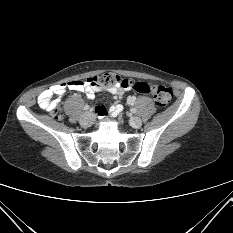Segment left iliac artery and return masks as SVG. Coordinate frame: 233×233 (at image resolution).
I'll return each mask as SVG.
<instances>
[{
	"label": "left iliac artery",
	"mask_w": 233,
	"mask_h": 233,
	"mask_svg": "<svg viewBox=\"0 0 233 233\" xmlns=\"http://www.w3.org/2000/svg\"><path fill=\"white\" fill-rule=\"evenodd\" d=\"M131 112H132V113H136V109H135V108H132V109H131Z\"/></svg>",
	"instance_id": "obj_1"
}]
</instances>
